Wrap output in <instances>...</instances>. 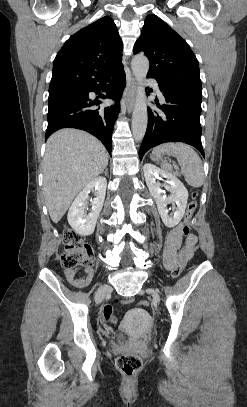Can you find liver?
I'll use <instances>...</instances> for the list:
<instances>
[{"instance_id":"liver-1","label":"liver","mask_w":247,"mask_h":407,"mask_svg":"<svg viewBox=\"0 0 247 407\" xmlns=\"http://www.w3.org/2000/svg\"><path fill=\"white\" fill-rule=\"evenodd\" d=\"M107 164L105 147L89 133L61 129L49 137L43 161V193L54 223L61 220L76 195Z\"/></svg>"}]
</instances>
